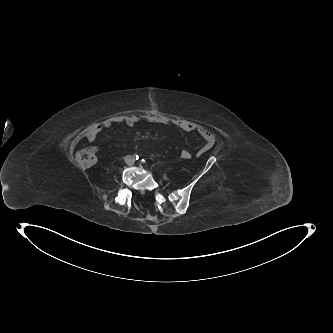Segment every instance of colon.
I'll return each mask as SVG.
<instances>
[{"mask_svg":"<svg viewBox=\"0 0 333 333\" xmlns=\"http://www.w3.org/2000/svg\"><path fill=\"white\" fill-rule=\"evenodd\" d=\"M180 157L183 160H190L193 157L192 152L183 149L180 152ZM75 160L81 167H90L96 162V151L93 148H84L79 150L75 155Z\"/></svg>","mask_w":333,"mask_h":333,"instance_id":"colon-1","label":"colon"}]
</instances>
